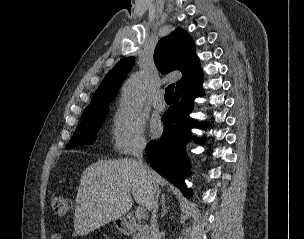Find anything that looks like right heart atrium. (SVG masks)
<instances>
[{
	"label": "right heart atrium",
	"mask_w": 304,
	"mask_h": 239,
	"mask_svg": "<svg viewBox=\"0 0 304 239\" xmlns=\"http://www.w3.org/2000/svg\"><path fill=\"white\" fill-rule=\"evenodd\" d=\"M111 148L124 155L141 151L146 145L144 120L123 107L115 111L109 131Z\"/></svg>",
	"instance_id": "obj_1"
}]
</instances>
